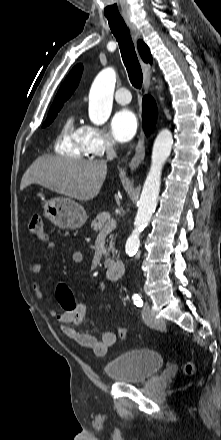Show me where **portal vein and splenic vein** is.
<instances>
[{"label":"portal vein and splenic vein","mask_w":221,"mask_h":440,"mask_svg":"<svg viewBox=\"0 0 221 440\" xmlns=\"http://www.w3.org/2000/svg\"><path fill=\"white\" fill-rule=\"evenodd\" d=\"M116 228V220L111 219L109 223L105 226V229L103 232H110L111 230Z\"/></svg>","instance_id":"18ae733b"}]
</instances>
